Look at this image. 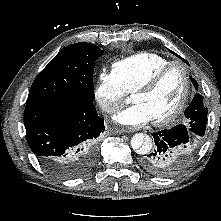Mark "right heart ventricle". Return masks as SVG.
<instances>
[{
    "mask_svg": "<svg viewBox=\"0 0 221 221\" xmlns=\"http://www.w3.org/2000/svg\"><path fill=\"white\" fill-rule=\"evenodd\" d=\"M170 60L156 52H139L118 60L112 72L127 93L134 92L160 67Z\"/></svg>",
    "mask_w": 221,
    "mask_h": 221,
    "instance_id": "right-heart-ventricle-1",
    "label": "right heart ventricle"
}]
</instances>
